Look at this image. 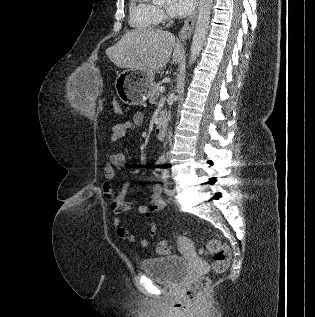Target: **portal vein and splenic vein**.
<instances>
[{"instance_id":"portal-vein-and-splenic-vein-1","label":"portal vein and splenic vein","mask_w":315,"mask_h":317,"mask_svg":"<svg viewBox=\"0 0 315 317\" xmlns=\"http://www.w3.org/2000/svg\"><path fill=\"white\" fill-rule=\"evenodd\" d=\"M159 91L162 93L165 91V88L164 87H160Z\"/></svg>"}]
</instances>
